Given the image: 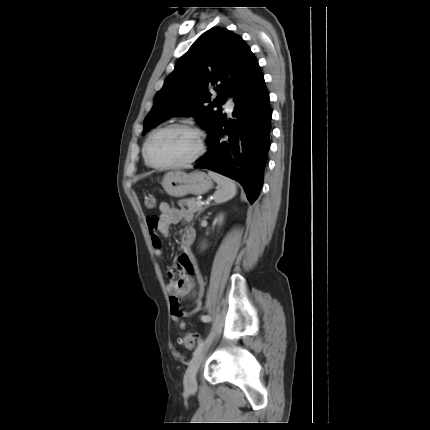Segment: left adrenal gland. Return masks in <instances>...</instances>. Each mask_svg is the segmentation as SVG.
<instances>
[{"instance_id": "left-adrenal-gland-1", "label": "left adrenal gland", "mask_w": 430, "mask_h": 430, "mask_svg": "<svg viewBox=\"0 0 430 430\" xmlns=\"http://www.w3.org/2000/svg\"><path fill=\"white\" fill-rule=\"evenodd\" d=\"M205 208H207V207H205ZM205 208H204V209H205ZM200 213H201V212H199V213L197 214V216H198Z\"/></svg>"}]
</instances>
